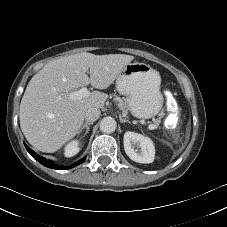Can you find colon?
I'll return each mask as SVG.
<instances>
[{
	"instance_id": "colon-1",
	"label": "colon",
	"mask_w": 227,
	"mask_h": 227,
	"mask_svg": "<svg viewBox=\"0 0 227 227\" xmlns=\"http://www.w3.org/2000/svg\"><path fill=\"white\" fill-rule=\"evenodd\" d=\"M163 94H164V97L166 98V100H167L169 103H171V104H176V100H175V98H174V96H173V94H172L171 91L165 90V91L163 92Z\"/></svg>"
}]
</instances>
